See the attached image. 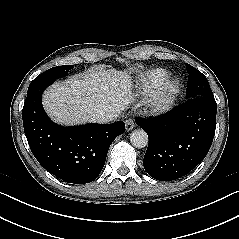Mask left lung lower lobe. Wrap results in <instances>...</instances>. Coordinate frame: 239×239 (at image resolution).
<instances>
[{
	"label": "left lung lower lobe",
	"mask_w": 239,
	"mask_h": 239,
	"mask_svg": "<svg viewBox=\"0 0 239 239\" xmlns=\"http://www.w3.org/2000/svg\"><path fill=\"white\" fill-rule=\"evenodd\" d=\"M214 97H196L165 116L137 119L149 144L143 159L147 173L171 181L189 173L207 155L216 128Z\"/></svg>",
	"instance_id": "0a47b994"
}]
</instances>
